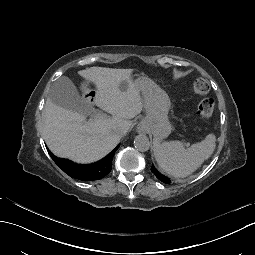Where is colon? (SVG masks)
Returning <instances> with one entry per match:
<instances>
[{"instance_id":"colon-1","label":"colon","mask_w":255,"mask_h":255,"mask_svg":"<svg viewBox=\"0 0 255 255\" xmlns=\"http://www.w3.org/2000/svg\"><path fill=\"white\" fill-rule=\"evenodd\" d=\"M209 83L203 78H197L193 81L192 89L195 94L205 95L209 91ZM214 101L210 98L204 99L200 102L197 108V118L206 120L210 118L214 112Z\"/></svg>"}]
</instances>
